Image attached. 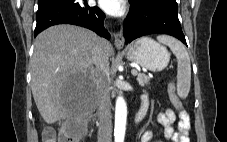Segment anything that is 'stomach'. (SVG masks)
Segmentation results:
<instances>
[{
  "label": "stomach",
  "mask_w": 227,
  "mask_h": 142,
  "mask_svg": "<svg viewBox=\"0 0 227 142\" xmlns=\"http://www.w3.org/2000/svg\"><path fill=\"white\" fill-rule=\"evenodd\" d=\"M124 53L128 60L152 72L162 71L170 60L167 49L149 37L136 40Z\"/></svg>",
  "instance_id": "1"
}]
</instances>
